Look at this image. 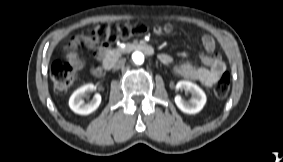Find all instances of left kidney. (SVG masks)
<instances>
[{"label":"left kidney","mask_w":283,"mask_h":162,"mask_svg":"<svg viewBox=\"0 0 283 162\" xmlns=\"http://www.w3.org/2000/svg\"><path fill=\"white\" fill-rule=\"evenodd\" d=\"M176 89L185 90L191 94L190 100H184L180 95L175 96V104L182 112L196 114L203 109L207 98L204 91L198 85L183 80L176 84Z\"/></svg>","instance_id":"left-kidney-1"}]
</instances>
